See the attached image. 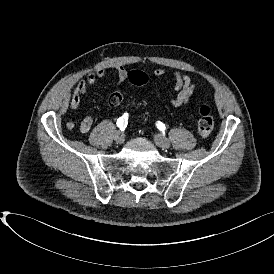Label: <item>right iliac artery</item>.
Here are the masks:
<instances>
[{
	"label": "right iliac artery",
	"mask_w": 274,
	"mask_h": 274,
	"mask_svg": "<svg viewBox=\"0 0 274 274\" xmlns=\"http://www.w3.org/2000/svg\"><path fill=\"white\" fill-rule=\"evenodd\" d=\"M117 126L120 128V130H124L128 124V114L125 113L122 117H120L118 120H117Z\"/></svg>",
	"instance_id": "right-iliac-artery-1"
}]
</instances>
